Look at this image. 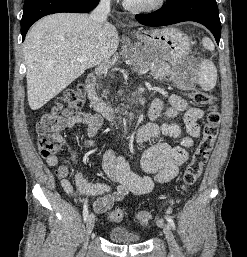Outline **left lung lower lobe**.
Instances as JSON below:
<instances>
[{
  "mask_svg": "<svg viewBox=\"0 0 247 257\" xmlns=\"http://www.w3.org/2000/svg\"><path fill=\"white\" fill-rule=\"evenodd\" d=\"M136 20L146 26H165L194 21L206 26L217 44L221 37V23L215 0H167L166 5L150 14H137Z\"/></svg>",
  "mask_w": 247,
  "mask_h": 257,
  "instance_id": "obj_1",
  "label": "left lung lower lobe"
}]
</instances>
